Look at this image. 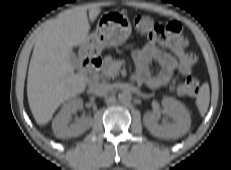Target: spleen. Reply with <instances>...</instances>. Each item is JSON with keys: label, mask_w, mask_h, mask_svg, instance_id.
I'll return each instance as SVG.
<instances>
[{"label": "spleen", "mask_w": 231, "mask_h": 170, "mask_svg": "<svg viewBox=\"0 0 231 170\" xmlns=\"http://www.w3.org/2000/svg\"><path fill=\"white\" fill-rule=\"evenodd\" d=\"M209 101H210L209 85L208 83H204L199 89L195 102L201 116H204L205 113L207 112Z\"/></svg>", "instance_id": "3e777b00"}]
</instances>
